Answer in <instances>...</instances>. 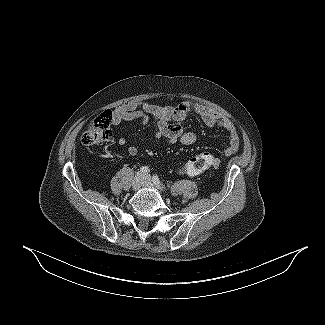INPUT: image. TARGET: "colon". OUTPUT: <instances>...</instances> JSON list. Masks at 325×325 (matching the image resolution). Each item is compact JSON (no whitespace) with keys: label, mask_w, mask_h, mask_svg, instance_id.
Returning <instances> with one entry per match:
<instances>
[{"label":"colon","mask_w":325,"mask_h":325,"mask_svg":"<svg viewBox=\"0 0 325 325\" xmlns=\"http://www.w3.org/2000/svg\"><path fill=\"white\" fill-rule=\"evenodd\" d=\"M113 114L105 111L99 114L87 127L81 137V142L85 146L99 145L108 141L112 136L111 123ZM214 156L211 153H201L190 159L191 164L188 170L181 168L184 174H199L209 168L214 163Z\"/></svg>","instance_id":"5ec220e1"}]
</instances>
